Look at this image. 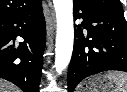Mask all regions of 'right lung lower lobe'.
Segmentation results:
<instances>
[{"label":"right lung lower lobe","instance_id":"98d812e1","mask_svg":"<svg viewBox=\"0 0 127 92\" xmlns=\"http://www.w3.org/2000/svg\"><path fill=\"white\" fill-rule=\"evenodd\" d=\"M16 37H21L19 42ZM45 46L41 2L36 8L0 20V78L24 92H38Z\"/></svg>","mask_w":127,"mask_h":92}]
</instances>
